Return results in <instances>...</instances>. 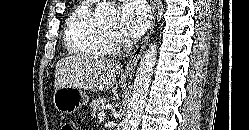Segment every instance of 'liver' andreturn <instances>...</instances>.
<instances>
[{
  "label": "liver",
  "instance_id": "liver-1",
  "mask_svg": "<svg viewBox=\"0 0 249 130\" xmlns=\"http://www.w3.org/2000/svg\"><path fill=\"white\" fill-rule=\"evenodd\" d=\"M121 65L97 56H71L56 64L55 91L62 87H73L92 91H104L113 87Z\"/></svg>",
  "mask_w": 249,
  "mask_h": 130
}]
</instances>
